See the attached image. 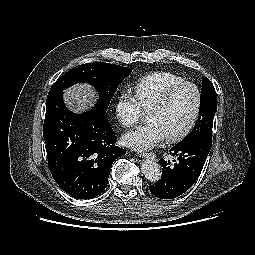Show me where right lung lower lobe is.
<instances>
[{
    "instance_id": "1",
    "label": "right lung lower lobe",
    "mask_w": 255,
    "mask_h": 255,
    "mask_svg": "<svg viewBox=\"0 0 255 255\" xmlns=\"http://www.w3.org/2000/svg\"><path fill=\"white\" fill-rule=\"evenodd\" d=\"M43 136L54 180L77 199L99 195L108 183L112 163L126 154L115 146L107 117L95 108L82 114L71 112L63 102V92L46 101Z\"/></svg>"
}]
</instances>
